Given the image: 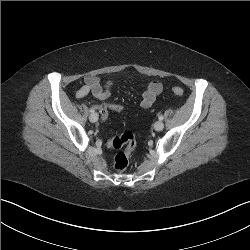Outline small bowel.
<instances>
[{"label":"small bowel","instance_id":"small-bowel-1","mask_svg":"<svg viewBox=\"0 0 250 250\" xmlns=\"http://www.w3.org/2000/svg\"><path fill=\"white\" fill-rule=\"evenodd\" d=\"M112 85V80H108L104 84H101L100 79L97 76L87 75L84 78V84L77 90L76 96L78 98H82L91 93L92 96L98 100H106L111 95ZM162 89L163 86L159 81L148 82L142 95V107H151L156 102L158 96L161 94Z\"/></svg>","mask_w":250,"mask_h":250}]
</instances>
